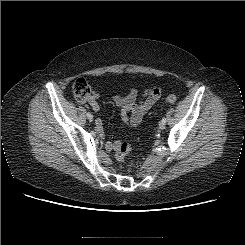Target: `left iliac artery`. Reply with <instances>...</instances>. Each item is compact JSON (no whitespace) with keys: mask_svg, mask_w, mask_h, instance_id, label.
Segmentation results:
<instances>
[{"mask_svg":"<svg viewBox=\"0 0 245 245\" xmlns=\"http://www.w3.org/2000/svg\"><path fill=\"white\" fill-rule=\"evenodd\" d=\"M162 121H163L164 123H166L167 120H166L165 117H163V118H162Z\"/></svg>","mask_w":245,"mask_h":245,"instance_id":"obj_1","label":"left iliac artery"}]
</instances>
